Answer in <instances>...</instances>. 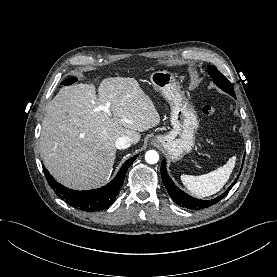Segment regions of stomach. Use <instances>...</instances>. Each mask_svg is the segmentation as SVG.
<instances>
[{
  "mask_svg": "<svg viewBox=\"0 0 277 277\" xmlns=\"http://www.w3.org/2000/svg\"><path fill=\"white\" fill-rule=\"evenodd\" d=\"M154 89L161 93L171 108L172 130L163 135H156L153 142L164 148L172 160H180L191 152L195 144V133L199 126L194 109L179 89L175 75L169 71H155L150 75Z\"/></svg>",
  "mask_w": 277,
  "mask_h": 277,
  "instance_id": "1",
  "label": "stomach"
}]
</instances>
